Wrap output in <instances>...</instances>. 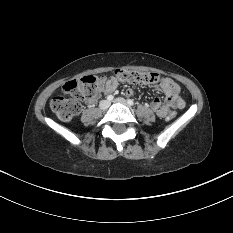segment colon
I'll return each mask as SVG.
<instances>
[{"label":"colon","instance_id":"colon-1","mask_svg":"<svg viewBox=\"0 0 233 233\" xmlns=\"http://www.w3.org/2000/svg\"><path fill=\"white\" fill-rule=\"evenodd\" d=\"M118 81L133 84H157L163 78L154 72H140L128 69H118L114 73ZM99 88V79L93 75H87L79 79L66 82L63 85V92L70 97L57 96L51 101V109L62 121H70L80 111V101L92 97ZM176 116L175 113L169 115L170 119Z\"/></svg>","mask_w":233,"mask_h":233}]
</instances>
